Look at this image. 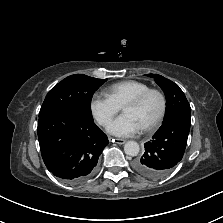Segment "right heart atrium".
<instances>
[{"instance_id":"right-heart-atrium-1","label":"right heart atrium","mask_w":223,"mask_h":223,"mask_svg":"<svg viewBox=\"0 0 223 223\" xmlns=\"http://www.w3.org/2000/svg\"><path fill=\"white\" fill-rule=\"evenodd\" d=\"M93 117L101 126H107L119 112L120 107L107 95L95 93L90 102Z\"/></svg>"}]
</instances>
